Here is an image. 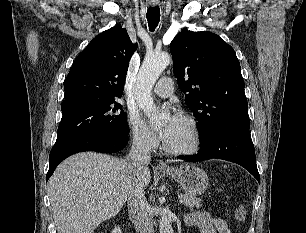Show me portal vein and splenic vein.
Returning <instances> with one entry per match:
<instances>
[{
	"instance_id": "1",
	"label": "portal vein and splenic vein",
	"mask_w": 306,
	"mask_h": 233,
	"mask_svg": "<svg viewBox=\"0 0 306 233\" xmlns=\"http://www.w3.org/2000/svg\"><path fill=\"white\" fill-rule=\"evenodd\" d=\"M184 200L182 198L179 199V203H183Z\"/></svg>"
}]
</instances>
